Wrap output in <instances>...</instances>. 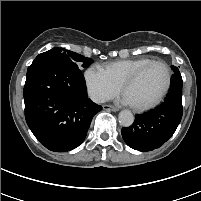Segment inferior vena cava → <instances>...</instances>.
<instances>
[{
    "label": "inferior vena cava",
    "instance_id": "1",
    "mask_svg": "<svg viewBox=\"0 0 201 201\" xmlns=\"http://www.w3.org/2000/svg\"><path fill=\"white\" fill-rule=\"evenodd\" d=\"M91 99L95 103H104L108 100V98L105 95L102 94H93L91 96Z\"/></svg>",
    "mask_w": 201,
    "mask_h": 201
}]
</instances>
